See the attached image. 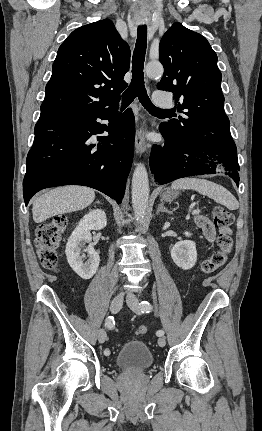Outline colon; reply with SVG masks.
<instances>
[{
	"instance_id": "obj_1",
	"label": "colon",
	"mask_w": 262,
	"mask_h": 431,
	"mask_svg": "<svg viewBox=\"0 0 262 431\" xmlns=\"http://www.w3.org/2000/svg\"><path fill=\"white\" fill-rule=\"evenodd\" d=\"M234 221L233 214L222 207L214 210V224L219 228H227ZM69 228L67 216H57L54 220L42 224L37 229V244L39 248V259L42 266L50 271H56L59 264V246L63 236ZM232 249V240L228 233L221 232L217 240V249L211 256L201 263L200 273L210 275L222 267L228 259ZM147 332L146 326H140L136 333L138 335Z\"/></svg>"
}]
</instances>
